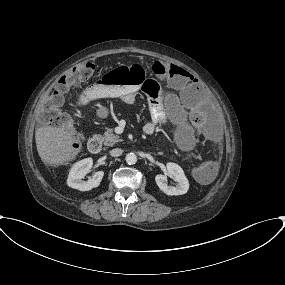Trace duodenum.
Masks as SVG:
<instances>
[{
    "label": "duodenum",
    "instance_id": "410a0bca",
    "mask_svg": "<svg viewBox=\"0 0 285 285\" xmlns=\"http://www.w3.org/2000/svg\"><path fill=\"white\" fill-rule=\"evenodd\" d=\"M102 143L103 141H102V137L100 134L93 135L88 142L89 151L91 153L100 152L102 149Z\"/></svg>",
    "mask_w": 285,
    "mask_h": 285
}]
</instances>
